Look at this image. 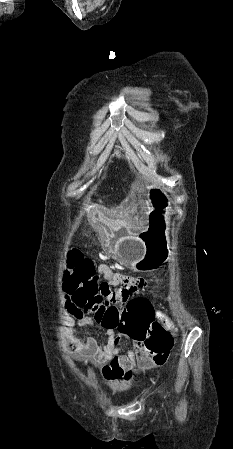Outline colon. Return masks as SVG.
<instances>
[{"label": "colon", "instance_id": "colon-1", "mask_svg": "<svg viewBox=\"0 0 233 449\" xmlns=\"http://www.w3.org/2000/svg\"><path fill=\"white\" fill-rule=\"evenodd\" d=\"M65 292L75 307L91 314L96 328H117L119 334L135 343V349H150L154 354L168 355L172 349L173 337L154 320L155 311L150 310L147 301H115L110 307L99 303L101 293L100 276L95 265L86 259L78 249L69 253L66 271Z\"/></svg>", "mask_w": 233, "mask_h": 449}]
</instances>
